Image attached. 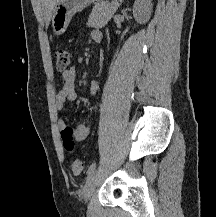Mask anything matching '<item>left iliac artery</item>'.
<instances>
[{
  "label": "left iliac artery",
  "mask_w": 216,
  "mask_h": 217,
  "mask_svg": "<svg viewBox=\"0 0 216 217\" xmlns=\"http://www.w3.org/2000/svg\"><path fill=\"white\" fill-rule=\"evenodd\" d=\"M95 168H96V163H92L87 170V175L88 176L91 175L94 172Z\"/></svg>",
  "instance_id": "1"
}]
</instances>
